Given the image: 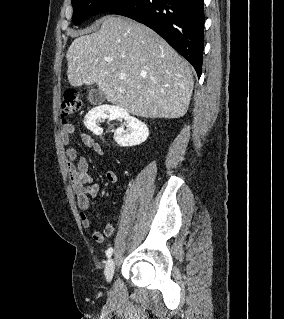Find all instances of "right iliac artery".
<instances>
[{
	"mask_svg": "<svg viewBox=\"0 0 284 319\" xmlns=\"http://www.w3.org/2000/svg\"><path fill=\"white\" fill-rule=\"evenodd\" d=\"M112 253H113V248H112V247H110V248H108V249L106 250V256H107L108 258L112 255Z\"/></svg>",
	"mask_w": 284,
	"mask_h": 319,
	"instance_id": "right-iliac-artery-1",
	"label": "right iliac artery"
}]
</instances>
